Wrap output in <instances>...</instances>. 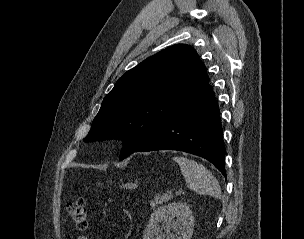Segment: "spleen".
<instances>
[{
    "label": "spleen",
    "instance_id": "3e777b00",
    "mask_svg": "<svg viewBox=\"0 0 304 239\" xmlns=\"http://www.w3.org/2000/svg\"><path fill=\"white\" fill-rule=\"evenodd\" d=\"M173 160L179 164L189 189L201 195L221 198L219 183L206 167L184 157H174Z\"/></svg>",
    "mask_w": 304,
    "mask_h": 239
}]
</instances>
